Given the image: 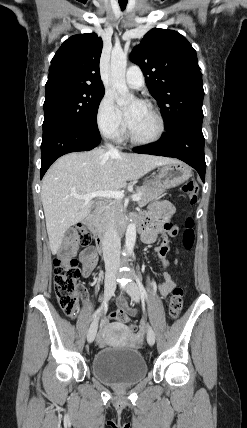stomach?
<instances>
[{
  "mask_svg": "<svg viewBox=\"0 0 247 428\" xmlns=\"http://www.w3.org/2000/svg\"><path fill=\"white\" fill-rule=\"evenodd\" d=\"M191 169L182 162L161 166L157 174L146 185L160 188H173L186 182L191 177Z\"/></svg>",
  "mask_w": 247,
  "mask_h": 428,
  "instance_id": "1",
  "label": "stomach"
}]
</instances>
